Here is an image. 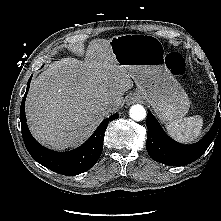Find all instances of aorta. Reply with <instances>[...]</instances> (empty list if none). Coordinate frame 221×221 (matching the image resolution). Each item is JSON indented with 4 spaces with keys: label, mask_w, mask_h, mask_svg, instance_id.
Wrapping results in <instances>:
<instances>
[{
    "label": "aorta",
    "mask_w": 221,
    "mask_h": 221,
    "mask_svg": "<svg viewBox=\"0 0 221 221\" xmlns=\"http://www.w3.org/2000/svg\"><path fill=\"white\" fill-rule=\"evenodd\" d=\"M130 117L135 121H141L146 117V110L142 105H133L129 110Z\"/></svg>",
    "instance_id": "aorta-1"
}]
</instances>
